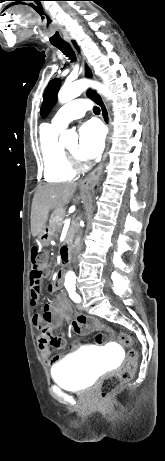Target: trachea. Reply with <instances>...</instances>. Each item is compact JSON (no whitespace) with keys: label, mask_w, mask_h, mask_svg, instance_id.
<instances>
[{"label":"trachea","mask_w":165,"mask_h":461,"mask_svg":"<svg viewBox=\"0 0 165 461\" xmlns=\"http://www.w3.org/2000/svg\"><path fill=\"white\" fill-rule=\"evenodd\" d=\"M56 48H58L62 53H64L67 57H69L71 60L75 59V55L73 50L71 49L70 45L68 43H59V44H53ZM88 96L92 98L97 104H100L102 102L100 96L96 94L93 91H89ZM93 112L95 114L100 113V108L99 107H94Z\"/></svg>","instance_id":"trachea-1"}]
</instances>
